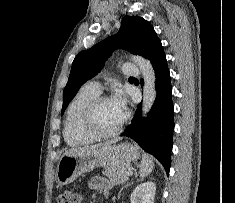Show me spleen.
Listing matches in <instances>:
<instances>
[{
	"label": "spleen",
	"instance_id": "3e777b00",
	"mask_svg": "<svg viewBox=\"0 0 235 203\" xmlns=\"http://www.w3.org/2000/svg\"><path fill=\"white\" fill-rule=\"evenodd\" d=\"M154 168L153 158L148 154H144L141 161L139 175L141 178L148 176Z\"/></svg>",
	"mask_w": 235,
	"mask_h": 203
}]
</instances>
